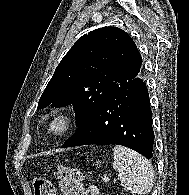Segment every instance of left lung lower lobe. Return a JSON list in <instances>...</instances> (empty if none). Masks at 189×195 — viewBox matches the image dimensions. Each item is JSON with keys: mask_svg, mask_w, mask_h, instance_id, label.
<instances>
[{"mask_svg": "<svg viewBox=\"0 0 189 195\" xmlns=\"http://www.w3.org/2000/svg\"><path fill=\"white\" fill-rule=\"evenodd\" d=\"M154 132L149 94L137 77L115 90L63 144L62 148L86 144H117L146 158L153 157Z\"/></svg>", "mask_w": 189, "mask_h": 195, "instance_id": "obj_1", "label": "left lung lower lobe"}]
</instances>
